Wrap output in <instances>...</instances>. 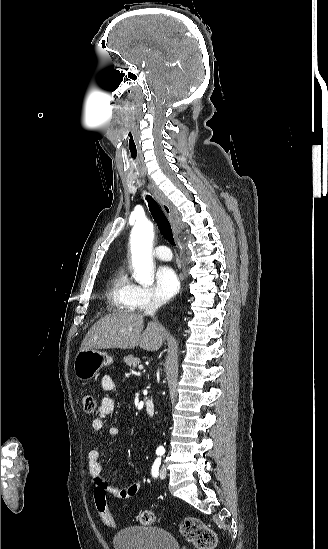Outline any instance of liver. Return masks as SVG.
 <instances>
[{
    "label": "liver",
    "instance_id": "liver-1",
    "mask_svg": "<svg viewBox=\"0 0 328 549\" xmlns=\"http://www.w3.org/2000/svg\"><path fill=\"white\" fill-rule=\"evenodd\" d=\"M144 315L117 311L99 319L88 331L80 351L96 349H134L158 351L165 335V329L158 321H150L143 335Z\"/></svg>",
    "mask_w": 328,
    "mask_h": 549
}]
</instances>
